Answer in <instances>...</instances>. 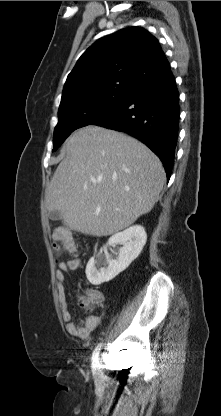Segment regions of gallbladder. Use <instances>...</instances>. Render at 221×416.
<instances>
[{"label": "gallbladder", "instance_id": "obj_1", "mask_svg": "<svg viewBox=\"0 0 221 416\" xmlns=\"http://www.w3.org/2000/svg\"><path fill=\"white\" fill-rule=\"evenodd\" d=\"M48 215H49V218L53 221H57L61 219V214L59 211H50Z\"/></svg>", "mask_w": 221, "mask_h": 416}]
</instances>
